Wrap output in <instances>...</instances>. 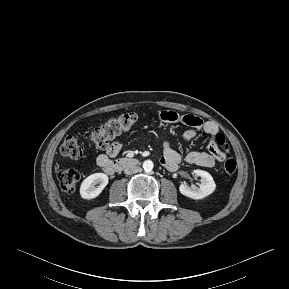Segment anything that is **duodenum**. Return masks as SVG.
Wrapping results in <instances>:
<instances>
[{
	"label": "duodenum",
	"mask_w": 289,
	"mask_h": 289,
	"mask_svg": "<svg viewBox=\"0 0 289 289\" xmlns=\"http://www.w3.org/2000/svg\"><path fill=\"white\" fill-rule=\"evenodd\" d=\"M138 164V160L135 158H120L110 162L103 169L105 172L111 174L115 171H121L125 168L132 167Z\"/></svg>",
	"instance_id": "410a0bca"
}]
</instances>
